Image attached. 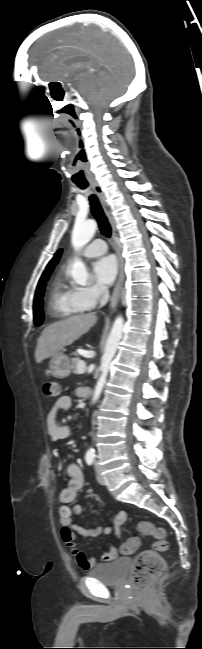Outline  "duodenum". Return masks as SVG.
<instances>
[{
    "label": "duodenum",
    "instance_id": "duodenum-1",
    "mask_svg": "<svg viewBox=\"0 0 202 649\" xmlns=\"http://www.w3.org/2000/svg\"><path fill=\"white\" fill-rule=\"evenodd\" d=\"M91 393H92V392H91L90 389H87V388H84V389H83V396H86V397H87V396H90Z\"/></svg>",
    "mask_w": 202,
    "mask_h": 649
}]
</instances>
